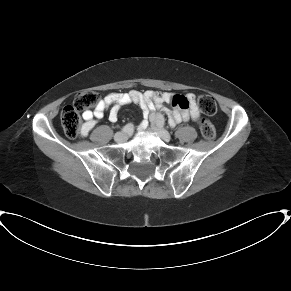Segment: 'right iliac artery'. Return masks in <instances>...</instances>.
Here are the masks:
<instances>
[{"label": "right iliac artery", "mask_w": 291, "mask_h": 291, "mask_svg": "<svg viewBox=\"0 0 291 291\" xmlns=\"http://www.w3.org/2000/svg\"><path fill=\"white\" fill-rule=\"evenodd\" d=\"M123 132L129 133L133 130V124L128 123L122 128Z\"/></svg>", "instance_id": "82829eb1"}]
</instances>
